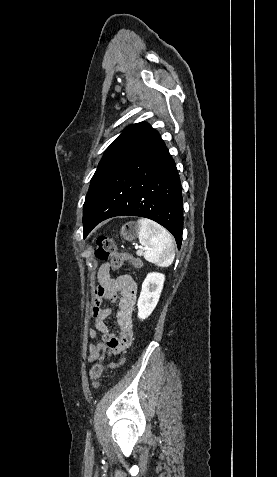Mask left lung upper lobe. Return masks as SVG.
Returning a JSON list of instances; mask_svg holds the SVG:
<instances>
[{
    "label": "left lung upper lobe",
    "instance_id": "5c2ea615",
    "mask_svg": "<svg viewBox=\"0 0 277 477\" xmlns=\"http://www.w3.org/2000/svg\"><path fill=\"white\" fill-rule=\"evenodd\" d=\"M158 132L148 123L132 124L106 149L91 179V184L83 206V224L94 213L96 205L114 173L142 146L152 140Z\"/></svg>",
    "mask_w": 277,
    "mask_h": 477
}]
</instances>
